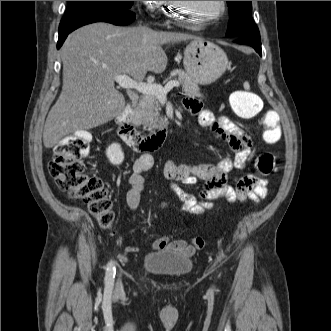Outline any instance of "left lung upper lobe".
<instances>
[{
    "label": "left lung upper lobe",
    "mask_w": 331,
    "mask_h": 331,
    "mask_svg": "<svg viewBox=\"0 0 331 331\" xmlns=\"http://www.w3.org/2000/svg\"><path fill=\"white\" fill-rule=\"evenodd\" d=\"M227 4L230 11L227 37L260 35L258 27L252 19L251 1H227Z\"/></svg>",
    "instance_id": "1"
}]
</instances>
